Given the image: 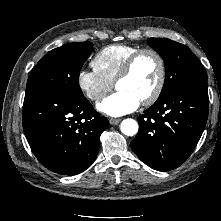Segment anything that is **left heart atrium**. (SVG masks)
Returning a JSON list of instances; mask_svg holds the SVG:
<instances>
[{
    "label": "left heart atrium",
    "mask_w": 221,
    "mask_h": 221,
    "mask_svg": "<svg viewBox=\"0 0 221 221\" xmlns=\"http://www.w3.org/2000/svg\"><path fill=\"white\" fill-rule=\"evenodd\" d=\"M141 101L133 94L118 90L98 104V109L113 117L122 116L135 111Z\"/></svg>",
    "instance_id": "left-heart-atrium-1"
}]
</instances>
